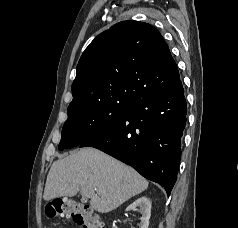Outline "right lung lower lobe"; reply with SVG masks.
Here are the masks:
<instances>
[{"label": "right lung lower lobe", "instance_id": "98d812e1", "mask_svg": "<svg viewBox=\"0 0 238 228\" xmlns=\"http://www.w3.org/2000/svg\"><path fill=\"white\" fill-rule=\"evenodd\" d=\"M187 106L181 80L128 103L113 125L79 147L97 148L132 166L167 194L176 182Z\"/></svg>", "mask_w": 238, "mask_h": 228}]
</instances>
